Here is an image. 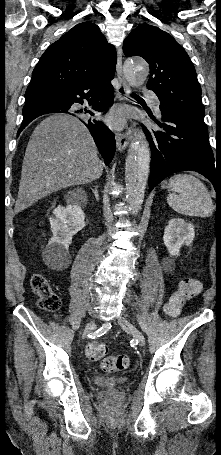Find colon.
I'll list each match as a JSON object with an SVG mask.
<instances>
[{"instance_id": "obj_1", "label": "colon", "mask_w": 221, "mask_h": 455, "mask_svg": "<svg viewBox=\"0 0 221 455\" xmlns=\"http://www.w3.org/2000/svg\"><path fill=\"white\" fill-rule=\"evenodd\" d=\"M32 292L38 297V306L48 312L57 313L61 307L59 295L51 288L50 283L41 274H35L31 278ZM202 289L201 282L195 278L183 280L179 288L171 295L165 305V312L170 317H177L183 305L197 296ZM86 356L91 360H101V369L111 373L122 371L130 366V357L126 354L106 356L107 347L100 342L91 341L85 348Z\"/></svg>"}]
</instances>
